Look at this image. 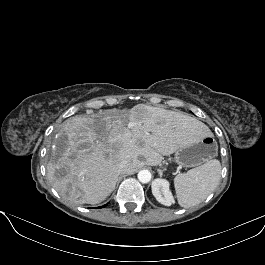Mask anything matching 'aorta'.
Returning a JSON list of instances; mask_svg holds the SVG:
<instances>
[{
    "label": "aorta",
    "instance_id": "1",
    "mask_svg": "<svg viewBox=\"0 0 265 265\" xmlns=\"http://www.w3.org/2000/svg\"><path fill=\"white\" fill-rule=\"evenodd\" d=\"M152 175L149 170H141L138 172V179L141 183H148L151 181Z\"/></svg>",
    "mask_w": 265,
    "mask_h": 265
}]
</instances>
